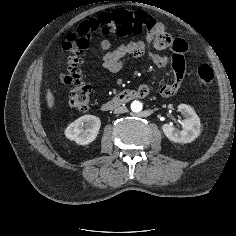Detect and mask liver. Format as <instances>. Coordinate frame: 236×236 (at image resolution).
Segmentation results:
<instances>
[{"mask_svg":"<svg viewBox=\"0 0 236 236\" xmlns=\"http://www.w3.org/2000/svg\"><path fill=\"white\" fill-rule=\"evenodd\" d=\"M46 101L48 108L52 109L55 104V98L50 89H47Z\"/></svg>","mask_w":236,"mask_h":236,"instance_id":"liver-1","label":"liver"}]
</instances>
